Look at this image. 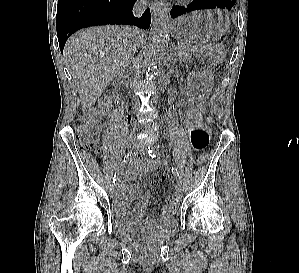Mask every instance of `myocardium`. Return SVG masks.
<instances>
[{"mask_svg":"<svg viewBox=\"0 0 299 273\" xmlns=\"http://www.w3.org/2000/svg\"><path fill=\"white\" fill-rule=\"evenodd\" d=\"M180 4H186L191 0H177Z\"/></svg>","mask_w":299,"mask_h":273,"instance_id":"obj_1","label":"myocardium"}]
</instances>
